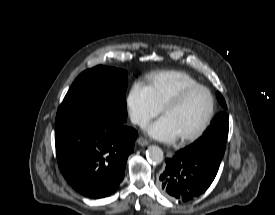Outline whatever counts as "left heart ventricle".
I'll return each instance as SVG.
<instances>
[{
    "instance_id": "b2bd125f",
    "label": "left heart ventricle",
    "mask_w": 275,
    "mask_h": 215,
    "mask_svg": "<svg viewBox=\"0 0 275 215\" xmlns=\"http://www.w3.org/2000/svg\"><path fill=\"white\" fill-rule=\"evenodd\" d=\"M209 107L208 93L198 89L187 95L179 105L168 110L164 117L169 120L179 138L192 133L200 126Z\"/></svg>"
}]
</instances>
